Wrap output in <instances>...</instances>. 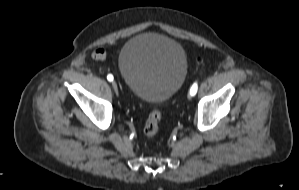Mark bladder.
Instances as JSON below:
<instances>
[{"instance_id": "obj_1", "label": "bladder", "mask_w": 299, "mask_h": 190, "mask_svg": "<svg viewBox=\"0 0 299 190\" xmlns=\"http://www.w3.org/2000/svg\"><path fill=\"white\" fill-rule=\"evenodd\" d=\"M118 67L133 94L157 103L170 99L182 86L187 74V57L182 45L174 39L142 33L124 44Z\"/></svg>"}]
</instances>
